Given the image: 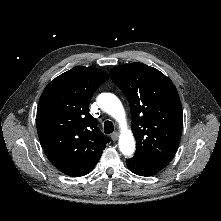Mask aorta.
Listing matches in <instances>:
<instances>
[{
	"instance_id": "obj_1",
	"label": "aorta",
	"mask_w": 221,
	"mask_h": 221,
	"mask_svg": "<svg viewBox=\"0 0 221 221\" xmlns=\"http://www.w3.org/2000/svg\"><path fill=\"white\" fill-rule=\"evenodd\" d=\"M97 103L104 112L118 121L121 128L119 149L124 155L131 156L135 151V140L131 130L126 127L125 111L121 101L114 94L101 93L97 97Z\"/></svg>"
}]
</instances>
